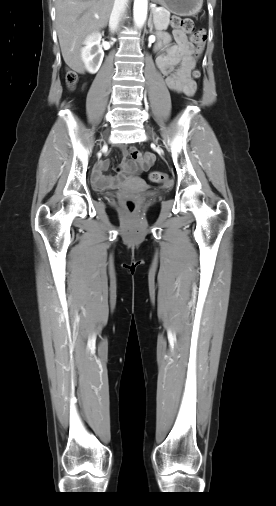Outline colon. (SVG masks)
Masks as SVG:
<instances>
[{
    "label": "colon",
    "mask_w": 276,
    "mask_h": 506,
    "mask_svg": "<svg viewBox=\"0 0 276 506\" xmlns=\"http://www.w3.org/2000/svg\"><path fill=\"white\" fill-rule=\"evenodd\" d=\"M172 25L177 29L186 34L191 35L192 43L195 47V56L198 58L202 54V51L206 42V33L203 30H194L193 21L187 17H174L172 19ZM194 77H199V72H194ZM78 77L73 71H68L66 74V82L70 88L75 87ZM150 180L154 183H162L167 185L169 183L167 176L161 172H152L149 176ZM125 207L128 212H134L136 209V203L133 200H127Z\"/></svg>",
    "instance_id": "obj_1"
}]
</instances>
